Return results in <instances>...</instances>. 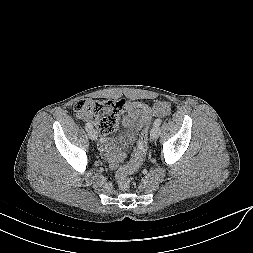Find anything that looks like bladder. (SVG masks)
<instances>
[{"mask_svg": "<svg viewBox=\"0 0 253 253\" xmlns=\"http://www.w3.org/2000/svg\"><path fill=\"white\" fill-rule=\"evenodd\" d=\"M139 130V126L131 119L124 120V134L129 140H134Z\"/></svg>", "mask_w": 253, "mask_h": 253, "instance_id": "1", "label": "bladder"}]
</instances>
